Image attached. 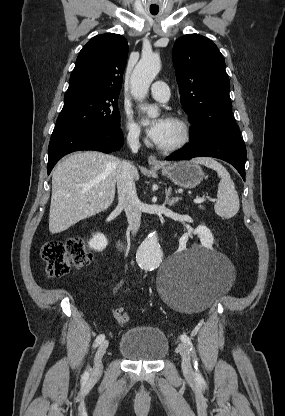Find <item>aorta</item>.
<instances>
[{"label": "aorta", "mask_w": 285, "mask_h": 416, "mask_svg": "<svg viewBox=\"0 0 285 416\" xmlns=\"http://www.w3.org/2000/svg\"><path fill=\"white\" fill-rule=\"evenodd\" d=\"M161 69L159 57L151 54L143 56L135 66L131 75V93L138 101H143L146 97L150 84L155 79ZM141 110L145 111L148 117L158 116L156 106L140 105ZM162 254L156 232H151L140 245L136 261L144 270H153L161 262Z\"/></svg>", "instance_id": "1"}]
</instances>
